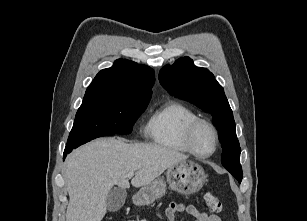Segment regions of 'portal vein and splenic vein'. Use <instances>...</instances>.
I'll return each mask as SVG.
<instances>
[{
	"instance_id": "18ae733b",
	"label": "portal vein and splenic vein",
	"mask_w": 307,
	"mask_h": 221,
	"mask_svg": "<svg viewBox=\"0 0 307 221\" xmlns=\"http://www.w3.org/2000/svg\"><path fill=\"white\" fill-rule=\"evenodd\" d=\"M134 176V172H129L128 174H127V177L128 178H132Z\"/></svg>"
}]
</instances>
